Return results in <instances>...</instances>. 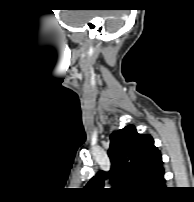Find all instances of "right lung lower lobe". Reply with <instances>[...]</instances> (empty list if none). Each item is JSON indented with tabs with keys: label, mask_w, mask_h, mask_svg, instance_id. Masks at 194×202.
Listing matches in <instances>:
<instances>
[{
	"label": "right lung lower lobe",
	"mask_w": 194,
	"mask_h": 202,
	"mask_svg": "<svg viewBox=\"0 0 194 202\" xmlns=\"http://www.w3.org/2000/svg\"><path fill=\"white\" fill-rule=\"evenodd\" d=\"M164 189H165V188H164ZM164 189H163V190H161L160 192H158V193L154 194V196H160V195H162V194H163V192H164Z\"/></svg>",
	"instance_id": "obj_1"
}]
</instances>
